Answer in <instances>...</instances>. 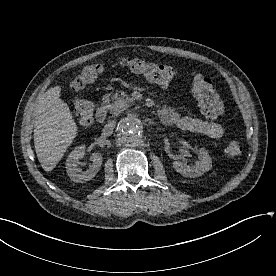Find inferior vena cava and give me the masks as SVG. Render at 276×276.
Instances as JSON below:
<instances>
[{"mask_svg": "<svg viewBox=\"0 0 276 276\" xmlns=\"http://www.w3.org/2000/svg\"><path fill=\"white\" fill-rule=\"evenodd\" d=\"M116 122L115 121H111L108 124L105 125L104 129H103V133L105 135H110L114 129Z\"/></svg>", "mask_w": 276, "mask_h": 276, "instance_id": "1", "label": "inferior vena cava"}]
</instances>
